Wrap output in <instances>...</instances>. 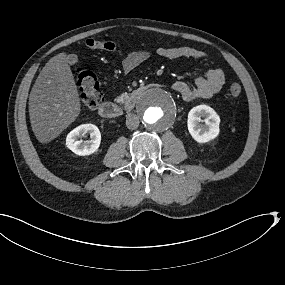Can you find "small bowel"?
Wrapping results in <instances>:
<instances>
[{
	"label": "small bowel",
	"instance_id": "c3829d8e",
	"mask_svg": "<svg viewBox=\"0 0 285 285\" xmlns=\"http://www.w3.org/2000/svg\"><path fill=\"white\" fill-rule=\"evenodd\" d=\"M155 53L157 56L169 60L180 58L205 60L208 58L205 52L188 46L160 47ZM150 56L151 53L148 50L128 51L121 62V68L124 73H130L146 62ZM224 84V72L218 67H211L195 78L194 85L176 81L172 88L183 100L192 101L211 98L222 89Z\"/></svg>",
	"mask_w": 285,
	"mask_h": 285
}]
</instances>
